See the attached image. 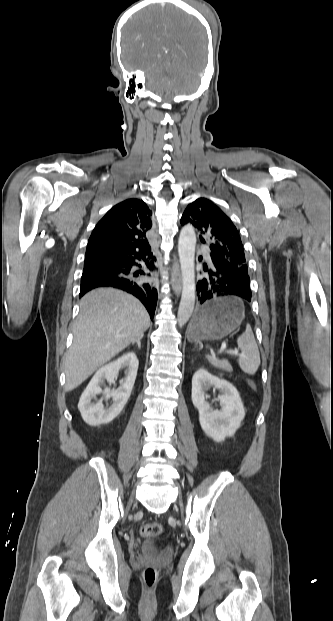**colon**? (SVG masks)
Wrapping results in <instances>:
<instances>
[{"label":"colon","mask_w":333,"mask_h":621,"mask_svg":"<svg viewBox=\"0 0 333 621\" xmlns=\"http://www.w3.org/2000/svg\"><path fill=\"white\" fill-rule=\"evenodd\" d=\"M164 527L161 523H147L141 527V535L144 537H155L162 534ZM157 579V572L153 567H147L143 571V581L147 594L151 592Z\"/></svg>","instance_id":"obj_1"}]
</instances>
